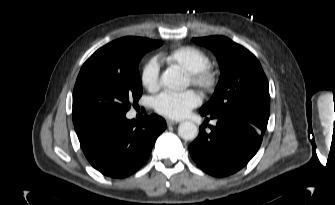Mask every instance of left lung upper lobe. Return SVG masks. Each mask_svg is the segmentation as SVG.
<instances>
[{
    "mask_svg": "<svg viewBox=\"0 0 335 205\" xmlns=\"http://www.w3.org/2000/svg\"><path fill=\"white\" fill-rule=\"evenodd\" d=\"M193 42L211 49L221 70L215 92L200 113H234L268 122V81L257 58L224 36L193 38Z\"/></svg>",
    "mask_w": 335,
    "mask_h": 205,
    "instance_id": "5c2ea615",
    "label": "left lung upper lobe"
}]
</instances>
